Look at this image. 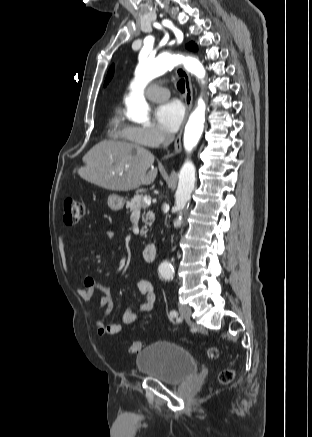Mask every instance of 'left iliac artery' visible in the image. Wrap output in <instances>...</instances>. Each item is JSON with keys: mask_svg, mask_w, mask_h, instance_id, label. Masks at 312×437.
I'll return each mask as SVG.
<instances>
[{"mask_svg": "<svg viewBox=\"0 0 312 437\" xmlns=\"http://www.w3.org/2000/svg\"><path fill=\"white\" fill-rule=\"evenodd\" d=\"M178 314H177V312L175 311V310H172L171 312H170V317H176Z\"/></svg>", "mask_w": 312, "mask_h": 437, "instance_id": "44dca946", "label": "left iliac artery"}]
</instances>
